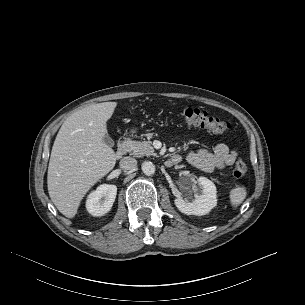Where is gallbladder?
<instances>
[{
	"label": "gallbladder",
	"instance_id": "gallbladder-1",
	"mask_svg": "<svg viewBox=\"0 0 305 305\" xmlns=\"http://www.w3.org/2000/svg\"><path fill=\"white\" fill-rule=\"evenodd\" d=\"M103 142L110 147L114 146V141L108 134L103 137Z\"/></svg>",
	"mask_w": 305,
	"mask_h": 305
}]
</instances>
